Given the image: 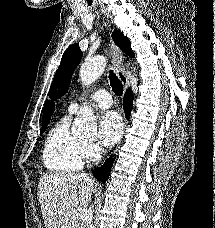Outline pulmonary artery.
Wrapping results in <instances>:
<instances>
[{
    "mask_svg": "<svg viewBox=\"0 0 215 228\" xmlns=\"http://www.w3.org/2000/svg\"><path fill=\"white\" fill-rule=\"evenodd\" d=\"M89 103L97 104L100 108L108 109L112 106V99L107 91L99 90L92 94L87 99ZM78 103H71L69 105V112L74 113L78 110Z\"/></svg>",
    "mask_w": 215,
    "mask_h": 228,
    "instance_id": "e3ab8cb5",
    "label": "pulmonary artery"
}]
</instances>
